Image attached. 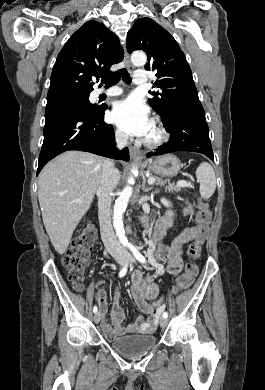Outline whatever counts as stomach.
<instances>
[{
    "label": "stomach",
    "instance_id": "stomach-1",
    "mask_svg": "<svg viewBox=\"0 0 265 390\" xmlns=\"http://www.w3.org/2000/svg\"><path fill=\"white\" fill-rule=\"evenodd\" d=\"M148 170L154 174L164 177L176 176L182 163L173 154H166L155 159H151L147 162Z\"/></svg>",
    "mask_w": 265,
    "mask_h": 390
}]
</instances>
